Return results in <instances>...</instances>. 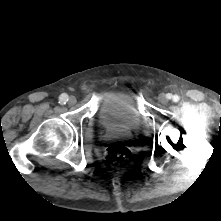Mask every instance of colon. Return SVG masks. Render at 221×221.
Wrapping results in <instances>:
<instances>
[{"mask_svg":"<svg viewBox=\"0 0 221 221\" xmlns=\"http://www.w3.org/2000/svg\"><path fill=\"white\" fill-rule=\"evenodd\" d=\"M131 156L128 147L122 144H112L105 150V159L112 166H119L126 163Z\"/></svg>","mask_w":221,"mask_h":221,"instance_id":"colon-1","label":"colon"}]
</instances>
